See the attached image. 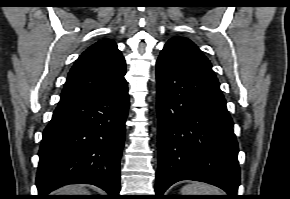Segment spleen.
Returning <instances> with one entry per match:
<instances>
[{"mask_svg": "<svg viewBox=\"0 0 290 199\" xmlns=\"http://www.w3.org/2000/svg\"><path fill=\"white\" fill-rule=\"evenodd\" d=\"M181 192L182 195H223L216 187L199 182L185 185Z\"/></svg>", "mask_w": 290, "mask_h": 199, "instance_id": "3e777b00", "label": "spleen"}]
</instances>
